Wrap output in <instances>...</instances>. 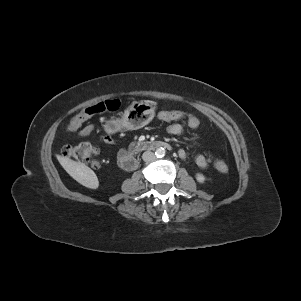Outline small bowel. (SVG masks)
I'll return each instance as SVG.
<instances>
[{
  "mask_svg": "<svg viewBox=\"0 0 301 301\" xmlns=\"http://www.w3.org/2000/svg\"><path fill=\"white\" fill-rule=\"evenodd\" d=\"M158 117L160 120L168 122L169 125L167 126V132L171 135H179L182 133L183 131V126L178 123L179 120L181 119H170L166 117V113L162 112L160 114H158ZM94 130V125L93 124H88L86 126H84L83 128H81L78 132L77 135L82 137V136H87L89 134H91ZM100 139L102 142H104L107 145H115V141L112 139L111 136L107 135V134H103L100 136ZM126 154L125 149L123 148H119L117 151V161L118 164L120 165V161L121 159L124 157V155ZM178 155L181 159H185L187 157V153L185 150L181 149L178 152ZM194 162L195 164L202 168V169H206L208 167V161L207 159L203 156V155H196L194 157Z\"/></svg>",
  "mask_w": 301,
  "mask_h": 301,
  "instance_id": "obj_1",
  "label": "small bowel"
}]
</instances>
